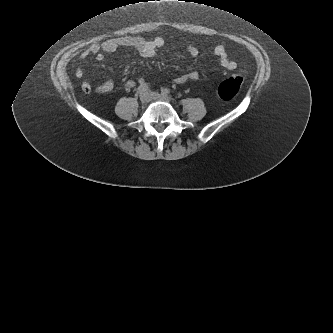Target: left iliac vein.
Instances as JSON below:
<instances>
[{"label": "left iliac vein", "instance_id": "left-iliac-vein-1", "mask_svg": "<svg viewBox=\"0 0 333 333\" xmlns=\"http://www.w3.org/2000/svg\"><path fill=\"white\" fill-rule=\"evenodd\" d=\"M151 98L154 100H161V101H166L169 102L171 100L170 96L159 94L157 92H150Z\"/></svg>", "mask_w": 333, "mask_h": 333}]
</instances>
